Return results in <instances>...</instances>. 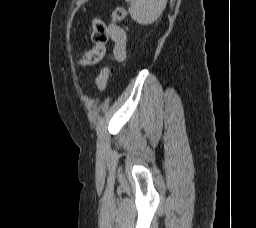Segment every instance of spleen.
<instances>
[{"label": "spleen", "mask_w": 256, "mask_h": 228, "mask_svg": "<svg viewBox=\"0 0 256 228\" xmlns=\"http://www.w3.org/2000/svg\"><path fill=\"white\" fill-rule=\"evenodd\" d=\"M130 2L131 18L141 25L155 22L164 11L167 0H125Z\"/></svg>", "instance_id": "3e777b00"}]
</instances>
